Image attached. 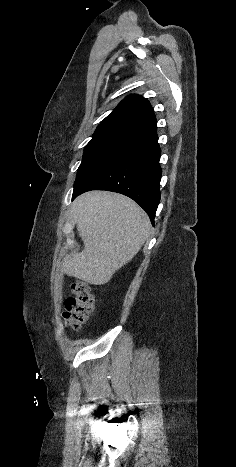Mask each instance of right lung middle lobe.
I'll return each mask as SVG.
<instances>
[{
  "instance_id": "obj_1",
  "label": "right lung middle lobe",
  "mask_w": 236,
  "mask_h": 467,
  "mask_svg": "<svg viewBox=\"0 0 236 467\" xmlns=\"http://www.w3.org/2000/svg\"><path fill=\"white\" fill-rule=\"evenodd\" d=\"M139 135L135 131L123 128H97L92 140L84 149L82 163L78 168L75 184L103 159Z\"/></svg>"
}]
</instances>
